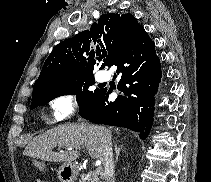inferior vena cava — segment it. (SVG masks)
I'll use <instances>...</instances> for the list:
<instances>
[{"instance_id": "obj_1", "label": "inferior vena cava", "mask_w": 211, "mask_h": 182, "mask_svg": "<svg viewBox=\"0 0 211 182\" xmlns=\"http://www.w3.org/2000/svg\"><path fill=\"white\" fill-rule=\"evenodd\" d=\"M103 158L102 161L105 166L104 170V182H114V159H113V149L112 141L104 132L103 138Z\"/></svg>"}]
</instances>
